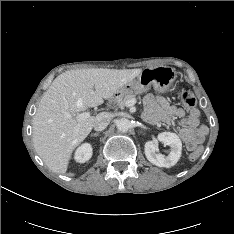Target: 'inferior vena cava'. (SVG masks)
<instances>
[{
	"label": "inferior vena cava",
	"instance_id": "602c4592",
	"mask_svg": "<svg viewBox=\"0 0 234 234\" xmlns=\"http://www.w3.org/2000/svg\"><path fill=\"white\" fill-rule=\"evenodd\" d=\"M111 121V116L108 113H100L95 117L94 130L102 131L104 130Z\"/></svg>",
	"mask_w": 234,
	"mask_h": 234
}]
</instances>
